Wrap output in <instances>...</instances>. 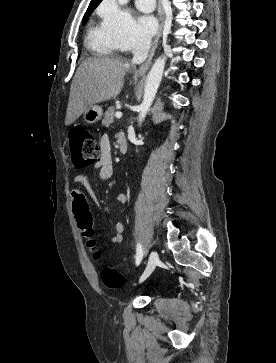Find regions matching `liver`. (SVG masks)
Segmentation results:
<instances>
[{
  "label": "liver",
  "mask_w": 276,
  "mask_h": 363,
  "mask_svg": "<svg viewBox=\"0 0 276 363\" xmlns=\"http://www.w3.org/2000/svg\"><path fill=\"white\" fill-rule=\"evenodd\" d=\"M130 67L121 58L94 57L84 60L71 83L65 125L76 121L88 107L119 95Z\"/></svg>",
  "instance_id": "6515ba94"
}]
</instances>
